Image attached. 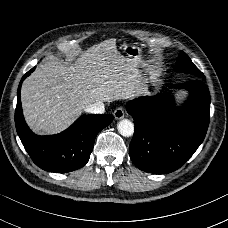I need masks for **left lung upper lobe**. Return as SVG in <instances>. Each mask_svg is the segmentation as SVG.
I'll use <instances>...</instances> for the list:
<instances>
[{"instance_id":"obj_1","label":"left lung upper lobe","mask_w":228,"mask_h":228,"mask_svg":"<svg viewBox=\"0 0 228 228\" xmlns=\"http://www.w3.org/2000/svg\"><path fill=\"white\" fill-rule=\"evenodd\" d=\"M175 71L179 73L190 74L194 77V79H205L203 73L192 63L189 56L183 51H181L177 59V62L175 64Z\"/></svg>"}]
</instances>
